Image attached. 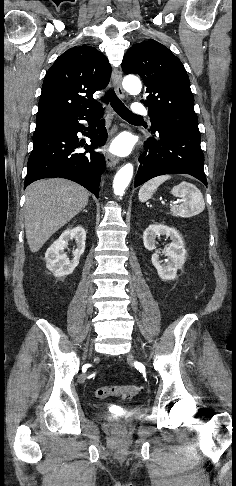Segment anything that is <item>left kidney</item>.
I'll return each mask as SVG.
<instances>
[{"instance_id":"obj_1","label":"left kidney","mask_w":236,"mask_h":486,"mask_svg":"<svg viewBox=\"0 0 236 486\" xmlns=\"http://www.w3.org/2000/svg\"><path fill=\"white\" fill-rule=\"evenodd\" d=\"M160 235H166L172 241L163 251L165 256H167L164 264H162L159 258V251L156 250L155 246V239ZM143 242L146 249L154 252L151 261L160 278L163 280H174L177 276V270L183 267L186 260L184 243L178 231L165 225L152 224L144 231Z\"/></svg>"}]
</instances>
